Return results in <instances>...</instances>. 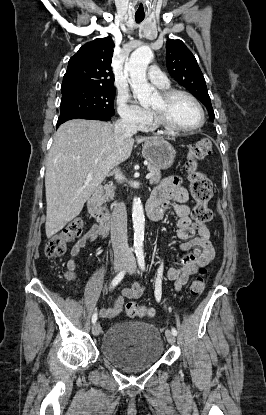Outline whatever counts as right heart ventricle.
I'll use <instances>...</instances> for the list:
<instances>
[{
    "instance_id": "e07e8e85",
    "label": "right heart ventricle",
    "mask_w": 266,
    "mask_h": 415,
    "mask_svg": "<svg viewBox=\"0 0 266 415\" xmlns=\"http://www.w3.org/2000/svg\"><path fill=\"white\" fill-rule=\"evenodd\" d=\"M168 86H165V87H161L162 89H166Z\"/></svg>"
}]
</instances>
